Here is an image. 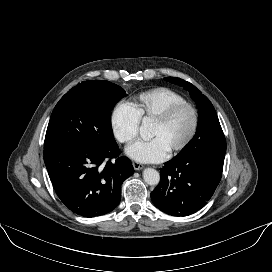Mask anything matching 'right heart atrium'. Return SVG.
Wrapping results in <instances>:
<instances>
[{"mask_svg": "<svg viewBox=\"0 0 272 272\" xmlns=\"http://www.w3.org/2000/svg\"><path fill=\"white\" fill-rule=\"evenodd\" d=\"M110 124L116 139L127 144L136 137L140 120L130 104L121 102L113 108Z\"/></svg>", "mask_w": 272, "mask_h": 272, "instance_id": "obj_1", "label": "right heart atrium"}]
</instances>
